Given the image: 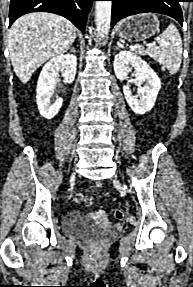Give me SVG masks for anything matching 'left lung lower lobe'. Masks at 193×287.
<instances>
[{
  "label": "left lung lower lobe",
  "mask_w": 193,
  "mask_h": 287,
  "mask_svg": "<svg viewBox=\"0 0 193 287\" xmlns=\"http://www.w3.org/2000/svg\"><path fill=\"white\" fill-rule=\"evenodd\" d=\"M112 17L111 27L120 19L138 13H160L176 19L181 25L183 15L180 7V0H111Z\"/></svg>",
  "instance_id": "0a47b994"
}]
</instances>
